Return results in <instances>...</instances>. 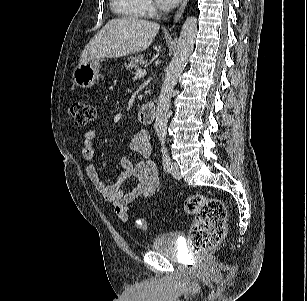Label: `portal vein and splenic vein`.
Wrapping results in <instances>:
<instances>
[{
	"label": "portal vein and splenic vein",
	"instance_id": "portal-vein-and-splenic-vein-1",
	"mask_svg": "<svg viewBox=\"0 0 307 301\" xmlns=\"http://www.w3.org/2000/svg\"><path fill=\"white\" fill-rule=\"evenodd\" d=\"M146 69H144V68H138L137 70H136V74H135V79L136 78H140V77H144L145 75H146Z\"/></svg>",
	"mask_w": 307,
	"mask_h": 301
}]
</instances>
